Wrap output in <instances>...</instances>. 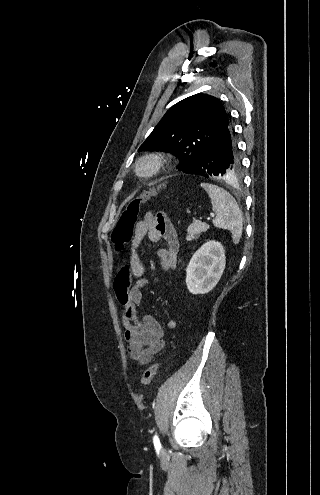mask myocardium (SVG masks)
<instances>
[{
    "instance_id": "1",
    "label": "myocardium",
    "mask_w": 320,
    "mask_h": 495,
    "mask_svg": "<svg viewBox=\"0 0 320 495\" xmlns=\"http://www.w3.org/2000/svg\"><path fill=\"white\" fill-rule=\"evenodd\" d=\"M167 164L168 160L163 154L152 152L137 159L134 171L139 177L149 179L161 173Z\"/></svg>"
}]
</instances>
